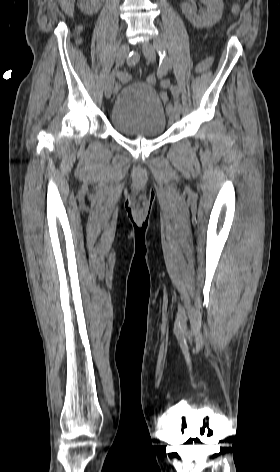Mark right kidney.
I'll use <instances>...</instances> for the list:
<instances>
[{"label":"right kidney","mask_w":280,"mask_h":472,"mask_svg":"<svg viewBox=\"0 0 280 472\" xmlns=\"http://www.w3.org/2000/svg\"><path fill=\"white\" fill-rule=\"evenodd\" d=\"M102 1L103 0H79V6L82 12L91 15L101 8Z\"/></svg>","instance_id":"1"}]
</instances>
